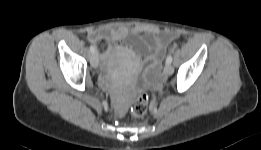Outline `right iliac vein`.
<instances>
[{
  "label": "right iliac vein",
  "instance_id": "right-iliac-vein-1",
  "mask_svg": "<svg viewBox=\"0 0 261 150\" xmlns=\"http://www.w3.org/2000/svg\"><path fill=\"white\" fill-rule=\"evenodd\" d=\"M90 63L92 65V67L97 68L99 65V58L97 53H93L91 58H90Z\"/></svg>",
  "mask_w": 261,
  "mask_h": 150
}]
</instances>
